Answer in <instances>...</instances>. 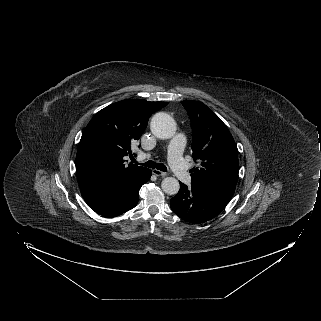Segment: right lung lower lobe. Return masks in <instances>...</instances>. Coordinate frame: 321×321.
I'll use <instances>...</instances> for the list:
<instances>
[{"label": "right lung lower lobe", "instance_id": "1", "mask_svg": "<svg viewBox=\"0 0 321 321\" xmlns=\"http://www.w3.org/2000/svg\"><path fill=\"white\" fill-rule=\"evenodd\" d=\"M151 174V170L146 169L135 176L103 180L81 188V194L96 213L115 217L137 205L139 189Z\"/></svg>", "mask_w": 321, "mask_h": 321}]
</instances>
